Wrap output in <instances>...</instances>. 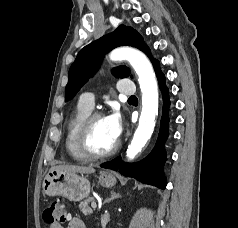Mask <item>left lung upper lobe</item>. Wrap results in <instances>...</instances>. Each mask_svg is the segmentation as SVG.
Masks as SVG:
<instances>
[{"label":"left lung upper lobe","instance_id":"left-lung-upper-lobe-1","mask_svg":"<svg viewBox=\"0 0 238 228\" xmlns=\"http://www.w3.org/2000/svg\"><path fill=\"white\" fill-rule=\"evenodd\" d=\"M124 45L136 47L148 56L151 55L150 49L136 30L120 25L114 32L90 43L78 53L69 70L65 101L71 100L88 78L98 70L102 58L107 52ZM113 74L123 78L130 75V70L126 66H119L113 70Z\"/></svg>","mask_w":238,"mask_h":228}]
</instances>
